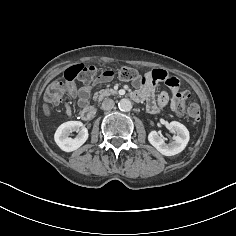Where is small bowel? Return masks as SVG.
I'll return each mask as SVG.
<instances>
[{"instance_id":"obj_1","label":"small bowel","mask_w":236,"mask_h":236,"mask_svg":"<svg viewBox=\"0 0 236 236\" xmlns=\"http://www.w3.org/2000/svg\"><path fill=\"white\" fill-rule=\"evenodd\" d=\"M107 79L108 77L103 75L98 77L93 83L85 84L78 89L74 86H69L65 90V93L77 98L78 104L80 106H85L88 103L93 85L106 82ZM169 79L170 77L167 75V73L161 69H153L147 72L144 76L134 82V84L138 86V89L132 94V98L135 101H146L147 108L150 112H158L168 104L169 97L167 92L162 91L155 98L154 86L155 83L161 81L167 84ZM167 85L170 86L173 91L170 107L172 110H176L178 104L177 98L175 96L176 92L178 91L177 84L171 82V84ZM65 111L67 115H71L72 110L68 103H65Z\"/></svg>"}]
</instances>
